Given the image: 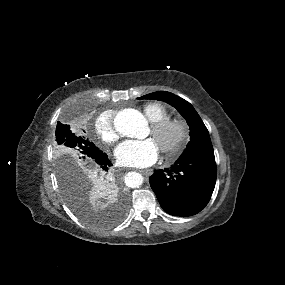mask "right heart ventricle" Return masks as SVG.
<instances>
[{
	"label": "right heart ventricle",
	"mask_w": 285,
	"mask_h": 285,
	"mask_svg": "<svg viewBox=\"0 0 285 285\" xmlns=\"http://www.w3.org/2000/svg\"><path fill=\"white\" fill-rule=\"evenodd\" d=\"M143 113L150 122H158L169 116L168 109L161 103L150 102L143 106Z\"/></svg>",
	"instance_id": "obj_1"
}]
</instances>
